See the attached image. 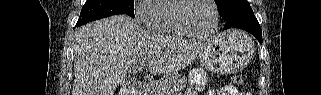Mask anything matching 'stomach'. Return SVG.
I'll return each mask as SVG.
<instances>
[{
  "instance_id": "obj_1",
  "label": "stomach",
  "mask_w": 321,
  "mask_h": 95,
  "mask_svg": "<svg viewBox=\"0 0 321 95\" xmlns=\"http://www.w3.org/2000/svg\"><path fill=\"white\" fill-rule=\"evenodd\" d=\"M255 54L252 39L240 31H229L209 40L199 53L206 69L218 73H235L244 68Z\"/></svg>"
}]
</instances>
